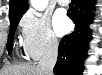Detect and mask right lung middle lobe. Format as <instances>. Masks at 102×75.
I'll return each instance as SVG.
<instances>
[{
    "label": "right lung middle lobe",
    "instance_id": "obj_1",
    "mask_svg": "<svg viewBox=\"0 0 102 75\" xmlns=\"http://www.w3.org/2000/svg\"><path fill=\"white\" fill-rule=\"evenodd\" d=\"M22 15L23 14H18L10 17V32H9L8 41H7V49L9 54H11L12 52L14 33Z\"/></svg>",
    "mask_w": 102,
    "mask_h": 75
}]
</instances>
